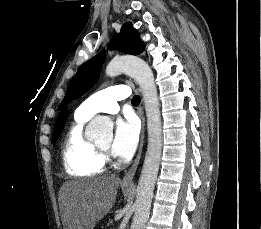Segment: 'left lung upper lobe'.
I'll list each match as a JSON object with an SVG mask.
<instances>
[{"label":"left lung upper lobe","mask_w":261,"mask_h":229,"mask_svg":"<svg viewBox=\"0 0 261 229\" xmlns=\"http://www.w3.org/2000/svg\"><path fill=\"white\" fill-rule=\"evenodd\" d=\"M110 48L117 49L126 54L138 55L144 51L145 44L140 39L138 31L132 27V24L126 23L122 26L120 33L115 34L111 39ZM105 57V51H102L79 68L69 83L60 108L70 101L77 99L93 87L99 78Z\"/></svg>","instance_id":"obj_1"}]
</instances>
